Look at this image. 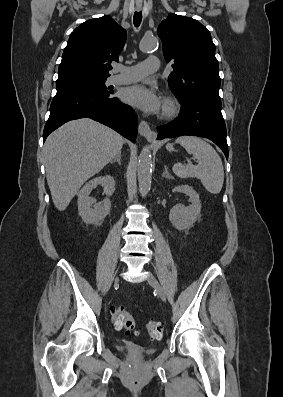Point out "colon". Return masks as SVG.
<instances>
[{
    "instance_id": "5ec220e1",
    "label": "colon",
    "mask_w": 283,
    "mask_h": 397,
    "mask_svg": "<svg viewBox=\"0 0 283 397\" xmlns=\"http://www.w3.org/2000/svg\"><path fill=\"white\" fill-rule=\"evenodd\" d=\"M112 320L115 328L124 329L127 334L137 333L136 322L132 313L122 306L112 310ZM146 333L150 339H158L162 334V324L158 321H149L146 324Z\"/></svg>"
}]
</instances>
